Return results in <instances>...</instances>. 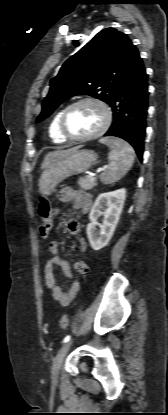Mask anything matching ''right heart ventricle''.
Here are the masks:
<instances>
[{
    "label": "right heart ventricle",
    "instance_id": "1",
    "mask_svg": "<svg viewBox=\"0 0 168 415\" xmlns=\"http://www.w3.org/2000/svg\"><path fill=\"white\" fill-rule=\"evenodd\" d=\"M63 110H59L52 118L48 133L51 140L55 143H65L67 139L61 134L59 130V119Z\"/></svg>",
    "mask_w": 168,
    "mask_h": 415
}]
</instances>
